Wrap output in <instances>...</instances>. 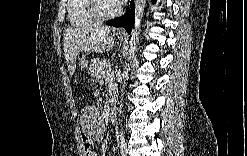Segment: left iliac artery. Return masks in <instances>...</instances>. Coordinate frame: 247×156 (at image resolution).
Returning a JSON list of instances; mask_svg holds the SVG:
<instances>
[{
    "instance_id": "1",
    "label": "left iliac artery",
    "mask_w": 247,
    "mask_h": 156,
    "mask_svg": "<svg viewBox=\"0 0 247 156\" xmlns=\"http://www.w3.org/2000/svg\"><path fill=\"white\" fill-rule=\"evenodd\" d=\"M120 143H121V145H120L121 154H122L123 156H125L126 153H127L125 140H124L123 138H121V142H120Z\"/></svg>"
}]
</instances>
